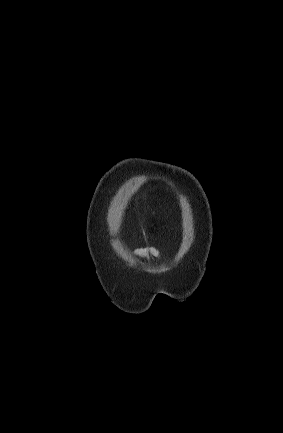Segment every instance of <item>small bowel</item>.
I'll return each instance as SVG.
<instances>
[{
  "label": "small bowel",
  "instance_id": "small-bowel-1",
  "mask_svg": "<svg viewBox=\"0 0 283 433\" xmlns=\"http://www.w3.org/2000/svg\"><path fill=\"white\" fill-rule=\"evenodd\" d=\"M134 254L137 258L149 263H154L156 260H163L165 258L163 252L155 246L136 248Z\"/></svg>",
  "mask_w": 283,
  "mask_h": 433
}]
</instances>
